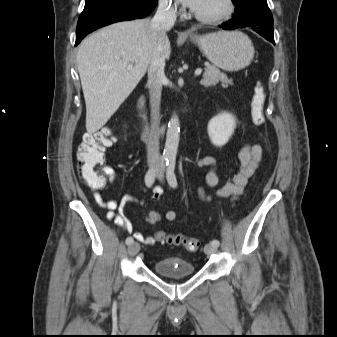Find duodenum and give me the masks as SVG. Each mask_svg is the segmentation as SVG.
I'll return each mask as SVG.
<instances>
[{
    "label": "duodenum",
    "instance_id": "410a0bca",
    "mask_svg": "<svg viewBox=\"0 0 337 337\" xmlns=\"http://www.w3.org/2000/svg\"><path fill=\"white\" fill-rule=\"evenodd\" d=\"M144 106H145V98L142 96L140 98V100H139V103H138V107H139L140 111L143 110ZM166 127H167L166 124H164V125L161 126V128H160V135L165 130ZM140 133H141V136L145 140H155L156 139V137H154L152 135V133L150 132V130L148 129V127H147V125L145 123L142 124Z\"/></svg>",
    "mask_w": 337,
    "mask_h": 337
}]
</instances>
